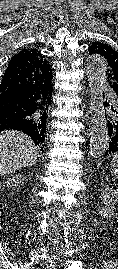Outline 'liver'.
Wrapping results in <instances>:
<instances>
[{
    "instance_id": "liver-1",
    "label": "liver",
    "mask_w": 118,
    "mask_h": 269,
    "mask_svg": "<svg viewBox=\"0 0 118 269\" xmlns=\"http://www.w3.org/2000/svg\"><path fill=\"white\" fill-rule=\"evenodd\" d=\"M38 150L27 135L18 131L0 133V175L36 163Z\"/></svg>"
}]
</instances>
